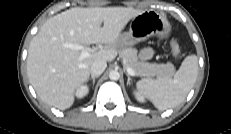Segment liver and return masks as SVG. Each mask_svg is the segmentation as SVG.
Returning <instances> with one entry per match:
<instances>
[{
  "mask_svg": "<svg viewBox=\"0 0 231 134\" xmlns=\"http://www.w3.org/2000/svg\"><path fill=\"white\" fill-rule=\"evenodd\" d=\"M142 12L125 7H75L48 19L31 40L27 57V74L40 99L60 110L72 106L75 91L89 79L91 65L115 59L121 31ZM97 43L111 48L80 59L79 50L66 47Z\"/></svg>",
  "mask_w": 231,
  "mask_h": 134,
  "instance_id": "liver-1",
  "label": "liver"
}]
</instances>
